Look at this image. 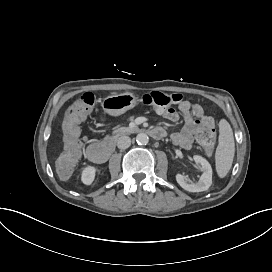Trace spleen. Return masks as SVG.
I'll return each instance as SVG.
<instances>
[{
    "instance_id": "3e777b00",
    "label": "spleen",
    "mask_w": 272,
    "mask_h": 272,
    "mask_svg": "<svg viewBox=\"0 0 272 272\" xmlns=\"http://www.w3.org/2000/svg\"><path fill=\"white\" fill-rule=\"evenodd\" d=\"M219 145L216 150V168L220 177H224L232 164L234 157V139L232 129L226 120H221Z\"/></svg>"
}]
</instances>
